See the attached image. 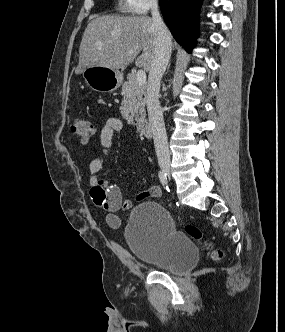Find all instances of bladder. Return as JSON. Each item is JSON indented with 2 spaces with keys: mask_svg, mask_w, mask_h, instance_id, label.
<instances>
[{
  "mask_svg": "<svg viewBox=\"0 0 285 332\" xmlns=\"http://www.w3.org/2000/svg\"><path fill=\"white\" fill-rule=\"evenodd\" d=\"M125 241L137 260L174 274L189 270L199 258L194 242L175 229L171 214L155 202H142L132 209Z\"/></svg>",
  "mask_w": 285,
  "mask_h": 332,
  "instance_id": "1",
  "label": "bladder"
}]
</instances>
